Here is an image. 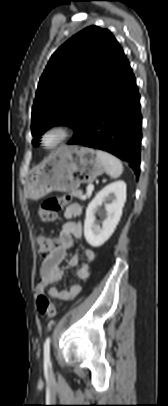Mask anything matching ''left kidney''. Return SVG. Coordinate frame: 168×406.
Instances as JSON below:
<instances>
[{"label": "left kidney", "mask_w": 168, "mask_h": 406, "mask_svg": "<svg viewBox=\"0 0 168 406\" xmlns=\"http://www.w3.org/2000/svg\"><path fill=\"white\" fill-rule=\"evenodd\" d=\"M126 201V184L116 181L105 186L96 194L86 209L84 236L92 247L102 246L114 233L122 216V208ZM104 204V211L99 207ZM98 215L102 222L96 220Z\"/></svg>", "instance_id": "5707ae66"}]
</instances>
